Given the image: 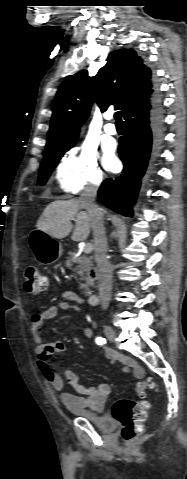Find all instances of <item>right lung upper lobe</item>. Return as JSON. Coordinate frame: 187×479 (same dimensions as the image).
Returning <instances> with one entry per match:
<instances>
[{"label":"right lung upper lobe","instance_id":"cb5924a9","mask_svg":"<svg viewBox=\"0 0 187 479\" xmlns=\"http://www.w3.org/2000/svg\"><path fill=\"white\" fill-rule=\"evenodd\" d=\"M157 94L151 69L133 49L111 52L94 77L83 70L61 84L54 100L46 151L74 146L94 101L102 112L114 105L125 118L133 109L149 105Z\"/></svg>","mask_w":187,"mask_h":479}]
</instances>
